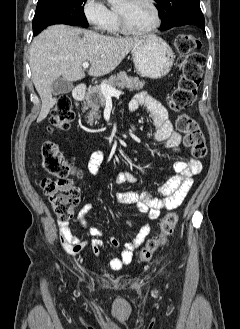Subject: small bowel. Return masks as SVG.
I'll return each instance as SVG.
<instances>
[{
    "mask_svg": "<svg viewBox=\"0 0 240 329\" xmlns=\"http://www.w3.org/2000/svg\"><path fill=\"white\" fill-rule=\"evenodd\" d=\"M138 108L145 109L151 115L152 130L148 133V138L163 144L167 149L181 154L182 135L173 129L164 106L143 91L134 96L129 103L128 110L133 112ZM104 159V153L100 150L91 154L88 170L92 175L97 176L100 174ZM174 169L178 174L159 187L156 194L149 191H121L116 195L117 201L121 204L134 205L140 213L146 214L150 220L157 219L163 211L179 207L192 185L193 178L201 173L202 164L198 159L184 157L174 164ZM137 181V177L127 170L119 172L115 177V183L118 185L134 184ZM92 208L93 205L91 203H86L76 218V223L87 228L88 234L93 237L90 241L81 240L67 221H58L57 225L61 243L66 251L77 254L89 247L93 255L99 257L100 249L104 246V241L101 237L105 232L101 228L88 226L87 216ZM125 223L133 227L131 221L126 220ZM151 228L150 222L145 223L136 232L134 238L122 245L117 238L114 236L110 237V244L113 247L121 246L120 255L113 256L109 260V266L112 270L119 271L132 261L134 251L144 242Z\"/></svg>",
    "mask_w": 240,
    "mask_h": 329,
    "instance_id": "obj_1",
    "label": "small bowel"
}]
</instances>
